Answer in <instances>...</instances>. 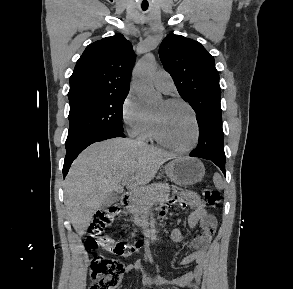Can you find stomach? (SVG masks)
I'll return each mask as SVG.
<instances>
[{
    "mask_svg": "<svg viewBox=\"0 0 293 289\" xmlns=\"http://www.w3.org/2000/svg\"><path fill=\"white\" fill-rule=\"evenodd\" d=\"M167 176L180 186L200 182L205 175L204 164L197 158L178 157L165 166Z\"/></svg>",
    "mask_w": 293,
    "mask_h": 289,
    "instance_id": "1",
    "label": "stomach"
}]
</instances>
